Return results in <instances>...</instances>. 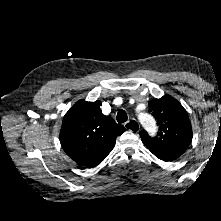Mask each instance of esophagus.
I'll list each match as a JSON object with an SVG mask.
<instances>
[{
	"label": "esophagus",
	"instance_id": "esophagus-1",
	"mask_svg": "<svg viewBox=\"0 0 221 221\" xmlns=\"http://www.w3.org/2000/svg\"><path fill=\"white\" fill-rule=\"evenodd\" d=\"M125 128L132 131V132H135V133H138L139 130H140V125L138 124V122L134 119L126 122L124 124Z\"/></svg>",
	"mask_w": 221,
	"mask_h": 221
}]
</instances>
